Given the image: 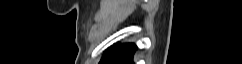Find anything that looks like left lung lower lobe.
Segmentation results:
<instances>
[{"mask_svg":"<svg viewBox=\"0 0 242 64\" xmlns=\"http://www.w3.org/2000/svg\"><path fill=\"white\" fill-rule=\"evenodd\" d=\"M137 46L133 44H115L103 55L99 64H133V55Z\"/></svg>","mask_w":242,"mask_h":64,"instance_id":"obj_1","label":"left lung lower lobe"}]
</instances>
